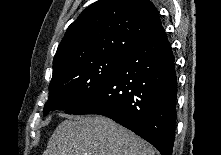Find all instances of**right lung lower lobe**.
Returning a JSON list of instances; mask_svg holds the SVG:
<instances>
[{
    "mask_svg": "<svg viewBox=\"0 0 221 155\" xmlns=\"http://www.w3.org/2000/svg\"><path fill=\"white\" fill-rule=\"evenodd\" d=\"M177 77L166 34L148 37L123 58L106 84L78 113L113 119L172 155Z\"/></svg>",
    "mask_w": 221,
    "mask_h": 155,
    "instance_id": "right-lung-lower-lobe-1",
    "label": "right lung lower lobe"
}]
</instances>
